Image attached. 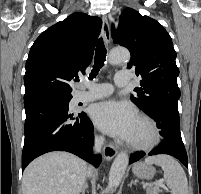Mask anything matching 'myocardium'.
Returning a JSON list of instances; mask_svg holds the SVG:
<instances>
[{
  "mask_svg": "<svg viewBox=\"0 0 201 194\" xmlns=\"http://www.w3.org/2000/svg\"><path fill=\"white\" fill-rule=\"evenodd\" d=\"M138 120L144 123L150 131V138L146 142L129 141L128 146L137 151H148L153 149L160 141V130L156 122L147 115H139Z\"/></svg>",
  "mask_w": 201,
  "mask_h": 194,
  "instance_id": "myocardium-1",
  "label": "myocardium"
}]
</instances>
